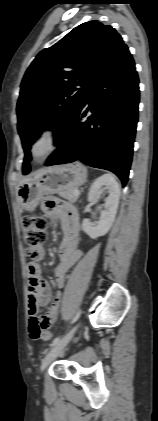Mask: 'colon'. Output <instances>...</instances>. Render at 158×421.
<instances>
[{"mask_svg": "<svg viewBox=\"0 0 158 421\" xmlns=\"http://www.w3.org/2000/svg\"><path fill=\"white\" fill-rule=\"evenodd\" d=\"M24 241L26 244V254L34 259L41 245L46 241V221L40 215H25L22 220ZM35 339L49 340L51 332L47 330H35Z\"/></svg>", "mask_w": 158, "mask_h": 421, "instance_id": "1", "label": "colon"}]
</instances>
